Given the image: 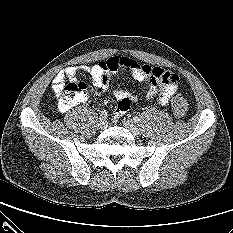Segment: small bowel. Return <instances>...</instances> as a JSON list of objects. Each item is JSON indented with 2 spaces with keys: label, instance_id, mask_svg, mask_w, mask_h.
Masks as SVG:
<instances>
[{
  "label": "small bowel",
  "instance_id": "c3829d8e",
  "mask_svg": "<svg viewBox=\"0 0 233 233\" xmlns=\"http://www.w3.org/2000/svg\"><path fill=\"white\" fill-rule=\"evenodd\" d=\"M119 68L128 69L136 81H145L148 85V99L155 98L160 106L167 105L178 88L179 77L174 72L139 63L128 56H113L93 66H69L60 70L53 79L52 89L55 94L60 95L66 81L77 82L78 72L88 73L95 87L107 89L112 75ZM115 96L118 100L113 110L115 117H120L130 111L139 101L138 95L124 89H116Z\"/></svg>",
  "mask_w": 233,
  "mask_h": 233
}]
</instances>
